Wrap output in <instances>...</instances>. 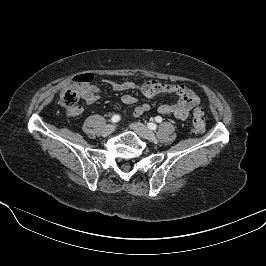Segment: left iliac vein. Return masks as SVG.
<instances>
[{
	"instance_id": "4c4485c4",
	"label": "left iliac vein",
	"mask_w": 266,
	"mask_h": 266,
	"mask_svg": "<svg viewBox=\"0 0 266 266\" xmlns=\"http://www.w3.org/2000/svg\"><path fill=\"white\" fill-rule=\"evenodd\" d=\"M131 129L134 130L140 137L145 138L149 141H155V134L148 129L145 125L139 122L132 123L130 125Z\"/></svg>"
}]
</instances>
